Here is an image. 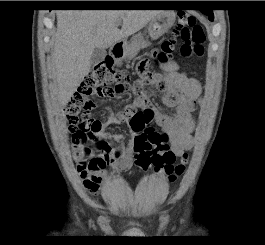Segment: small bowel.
I'll use <instances>...</instances> for the list:
<instances>
[{
	"label": "small bowel",
	"instance_id": "obj_1",
	"mask_svg": "<svg viewBox=\"0 0 265 245\" xmlns=\"http://www.w3.org/2000/svg\"><path fill=\"white\" fill-rule=\"evenodd\" d=\"M149 61V59H144ZM156 88L161 92L165 107L172 109L170 114H164L153 107L151 102L139 96L131 107L116 114L110 113L108 119L99 128V135H107L112 141L121 143L124 136L119 133L107 134L106 128L110 125L126 123L133 114L140 110L152 116V119L169 134L171 151L181 156L189 151L194 144L193 131L195 122L193 111L200 99V82L179 71L174 61L163 66L162 73L154 81ZM132 142H127L126 148L120 151H108L98 148V152L90 146H84L79 141L74 143V158L77 162V172L84 188L90 193H97L101 184L111 175L127 172L132 164ZM112 169V172L107 169Z\"/></svg>",
	"mask_w": 265,
	"mask_h": 245
}]
</instances>
